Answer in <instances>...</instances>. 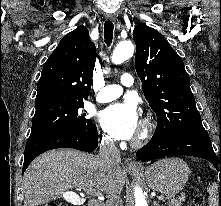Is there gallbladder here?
<instances>
[{
	"mask_svg": "<svg viewBox=\"0 0 221 206\" xmlns=\"http://www.w3.org/2000/svg\"><path fill=\"white\" fill-rule=\"evenodd\" d=\"M64 198H67L68 204L72 206H81V204L77 202L84 201L83 197H79V193H64Z\"/></svg>",
	"mask_w": 221,
	"mask_h": 206,
	"instance_id": "bac80fb5",
	"label": "gallbladder"
}]
</instances>
